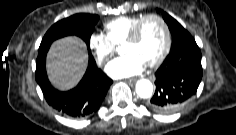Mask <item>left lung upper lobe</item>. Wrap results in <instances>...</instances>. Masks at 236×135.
Returning a JSON list of instances; mask_svg holds the SVG:
<instances>
[{
    "label": "left lung upper lobe",
    "mask_w": 236,
    "mask_h": 135,
    "mask_svg": "<svg viewBox=\"0 0 236 135\" xmlns=\"http://www.w3.org/2000/svg\"><path fill=\"white\" fill-rule=\"evenodd\" d=\"M158 11V9H157ZM161 14L163 16V19L165 20V22L168 24L169 29L173 26L176 25L178 22L172 18L169 14H167L164 11H161ZM185 30V29H184ZM185 35L186 37L184 38L183 41H195L194 38L185 30ZM183 41H181V44L183 43ZM177 46L176 41L172 38V46L171 49H174Z\"/></svg>",
    "instance_id": "left-lung-upper-lobe-1"
}]
</instances>
